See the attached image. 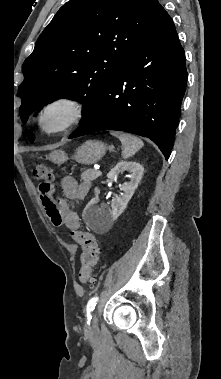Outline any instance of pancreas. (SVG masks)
<instances>
[{"label": "pancreas", "mask_w": 221, "mask_h": 379, "mask_svg": "<svg viewBox=\"0 0 221 379\" xmlns=\"http://www.w3.org/2000/svg\"><path fill=\"white\" fill-rule=\"evenodd\" d=\"M101 175L99 171L88 169L81 174V179L84 181H92Z\"/></svg>", "instance_id": "cf45deb5"}]
</instances>
